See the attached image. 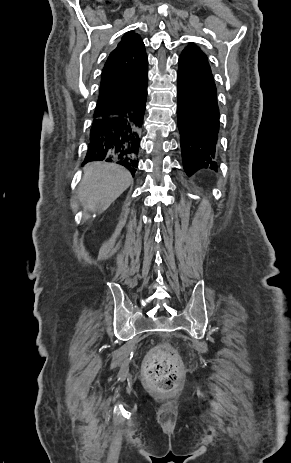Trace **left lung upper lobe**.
<instances>
[{"label": "left lung upper lobe", "mask_w": 291, "mask_h": 463, "mask_svg": "<svg viewBox=\"0 0 291 463\" xmlns=\"http://www.w3.org/2000/svg\"><path fill=\"white\" fill-rule=\"evenodd\" d=\"M178 62L179 69L214 80L207 56L195 44L185 47Z\"/></svg>", "instance_id": "5c2ea615"}]
</instances>
